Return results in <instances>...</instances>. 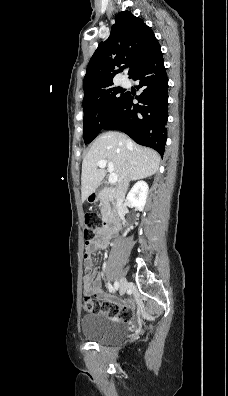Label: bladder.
Segmentation results:
<instances>
[{
	"instance_id": "31cf9c89",
	"label": "bladder",
	"mask_w": 228,
	"mask_h": 396,
	"mask_svg": "<svg viewBox=\"0 0 228 396\" xmlns=\"http://www.w3.org/2000/svg\"><path fill=\"white\" fill-rule=\"evenodd\" d=\"M83 336L100 344H114L125 340L130 330L127 323L102 313L88 314L81 320Z\"/></svg>"
}]
</instances>
